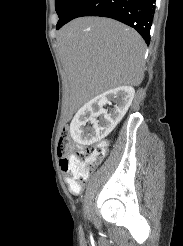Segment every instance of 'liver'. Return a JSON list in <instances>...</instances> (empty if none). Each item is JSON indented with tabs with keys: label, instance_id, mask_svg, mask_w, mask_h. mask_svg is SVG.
<instances>
[{
	"label": "liver",
	"instance_id": "6515ba94",
	"mask_svg": "<svg viewBox=\"0 0 183 246\" xmlns=\"http://www.w3.org/2000/svg\"><path fill=\"white\" fill-rule=\"evenodd\" d=\"M57 44L75 104L117 87L138 86L144 78L146 45L118 21L75 19L59 31Z\"/></svg>",
	"mask_w": 183,
	"mask_h": 246
}]
</instances>
